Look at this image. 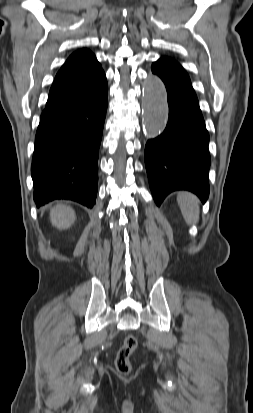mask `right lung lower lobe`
I'll list each match as a JSON object with an SVG mask.
<instances>
[{"instance_id":"obj_1","label":"right lung lower lobe","mask_w":253,"mask_h":413,"mask_svg":"<svg viewBox=\"0 0 253 413\" xmlns=\"http://www.w3.org/2000/svg\"><path fill=\"white\" fill-rule=\"evenodd\" d=\"M107 92L105 79L94 92L42 112L31 166L37 207L55 199L95 204Z\"/></svg>"}]
</instances>
